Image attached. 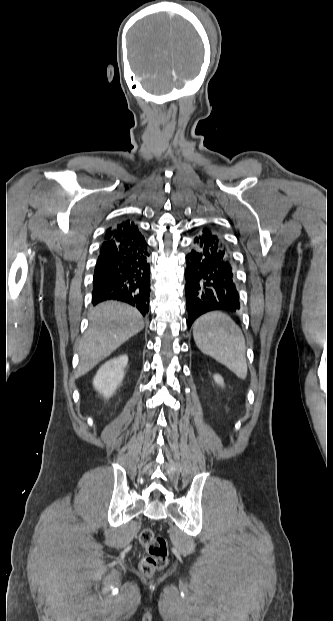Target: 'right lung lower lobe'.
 Returning a JSON list of instances; mask_svg holds the SVG:
<instances>
[{
  "label": "right lung lower lobe",
  "mask_w": 333,
  "mask_h": 621,
  "mask_svg": "<svg viewBox=\"0 0 333 621\" xmlns=\"http://www.w3.org/2000/svg\"><path fill=\"white\" fill-rule=\"evenodd\" d=\"M148 256L147 245L135 247L114 240L103 242L94 271L92 303L118 300L146 315L150 294Z\"/></svg>",
  "instance_id": "obj_1"
}]
</instances>
